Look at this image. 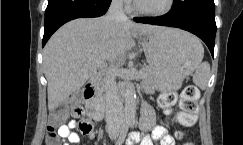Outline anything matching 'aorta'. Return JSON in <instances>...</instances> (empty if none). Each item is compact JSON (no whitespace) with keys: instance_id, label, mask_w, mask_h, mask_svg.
Listing matches in <instances>:
<instances>
[{"instance_id":"762f6f07","label":"aorta","mask_w":243,"mask_h":145,"mask_svg":"<svg viewBox=\"0 0 243 145\" xmlns=\"http://www.w3.org/2000/svg\"><path fill=\"white\" fill-rule=\"evenodd\" d=\"M124 111L126 121L133 122L136 115V92L135 86L132 82L127 84Z\"/></svg>"}]
</instances>
